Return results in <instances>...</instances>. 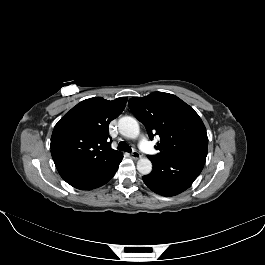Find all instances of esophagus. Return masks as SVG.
<instances>
[{"mask_svg":"<svg viewBox=\"0 0 265 265\" xmlns=\"http://www.w3.org/2000/svg\"><path fill=\"white\" fill-rule=\"evenodd\" d=\"M131 156H132V158H134V159H138V158H140V153L139 152H137V151H132L131 152Z\"/></svg>","mask_w":265,"mask_h":265,"instance_id":"34e87169","label":"esophagus"}]
</instances>
